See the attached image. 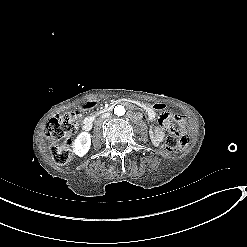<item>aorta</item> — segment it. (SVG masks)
I'll use <instances>...</instances> for the list:
<instances>
[{
    "label": "aorta",
    "mask_w": 247,
    "mask_h": 247,
    "mask_svg": "<svg viewBox=\"0 0 247 247\" xmlns=\"http://www.w3.org/2000/svg\"><path fill=\"white\" fill-rule=\"evenodd\" d=\"M114 114L117 116H123L125 114V108L121 105L115 106Z\"/></svg>",
    "instance_id": "1"
}]
</instances>
